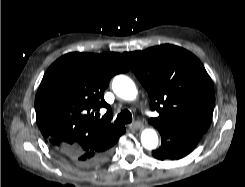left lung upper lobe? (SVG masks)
<instances>
[{
  "label": "left lung upper lobe",
  "mask_w": 245,
  "mask_h": 187,
  "mask_svg": "<svg viewBox=\"0 0 245 187\" xmlns=\"http://www.w3.org/2000/svg\"><path fill=\"white\" fill-rule=\"evenodd\" d=\"M132 71L147 90L150 108L160 115L149 123L168 131L206 133L215 93L212 80L200 60L174 45L125 52Z\"/></svg>",
  "instance_id": "left-lung-upper-lobe-1"
}]
</instances>
